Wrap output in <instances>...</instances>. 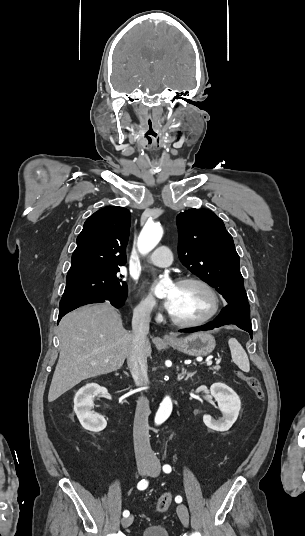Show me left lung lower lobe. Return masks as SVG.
<instances>
[{
	"label": "left lung lower lobe",
	"mask_w": 305,
	"mask_h": 536,
	"mask_svg": "<svg viewBox=\"0 0 305 536\" xmlns=\"http://www.w3.org/2000/svg\"><path fill=\"white\" fill-rule=\"evenodd\" d=\"M235 324L239 328L247 331L252 338V325L250 322L249 304L248 302L242 304L227 305L220 313V315L211 323L199 327L201 330H211L222 325ZM199 329H184L180 332H194Z\"/></svg>",
	"instance_id": "left-lung-lower-lobe-1"
}]
</instances>
